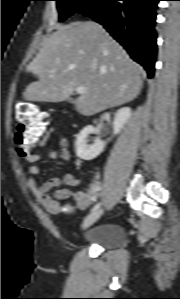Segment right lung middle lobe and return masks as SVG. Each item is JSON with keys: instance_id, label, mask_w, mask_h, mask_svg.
I'll list each match as a JSON object with an SVG mask.
<instances>
[{"instance_id": "dd1d6c3e", "label": "right lung middle lobe", "mask_w": 180, "mask_h": 299, "mask_svg": "<svg viewBox=\"0 0 180 299\" xmlns=\"http://www.w3.org/2000/svg\"><path fill=\"white\" fill-rule=\"evenodd\" d=\"M59 11V21H64L73 13H82L91 10L103 0H56Z\"/></svg>"}]
</instances>
